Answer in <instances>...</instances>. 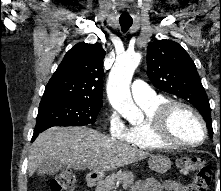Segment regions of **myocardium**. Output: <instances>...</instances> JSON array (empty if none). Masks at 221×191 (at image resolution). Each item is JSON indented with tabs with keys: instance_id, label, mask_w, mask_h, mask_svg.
I'll list each match as a JSON object with an SVG mask.
<instances>
[{
	"instance_id": "myocardium-1",
	"label": "myocardium",
	"mask_w": 221,
	"mask_h": 191,
	"mask_svg": "<svg viewBox=\"0 0 221 191\" xmlns=\"http://www.w3.org/2000/svg\"><path fill=\"white\" fill-rule=\"evenodd\" d=\"M190 113L198 122L202 130V138L199 142L189 143L179 140L173 131V118L179 111ZM153 136L159 143L166 147L193 148L203 144L207 138V127L201 114L192 106L181 101H166L159 105L153 117Z\"/></svg>"
}]
</instances>
